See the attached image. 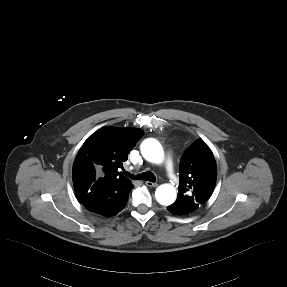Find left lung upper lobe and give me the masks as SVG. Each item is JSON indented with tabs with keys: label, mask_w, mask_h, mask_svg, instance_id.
Here are the masks:
<instances>
[{
	"label": "left lung upper lobe",
	"mask_w": 287,
	"mask_h": 287,
	"mask_svg": "<svg viewBox=\"0 0 287 287\" xmlns=\"http://www.w3.org/2000/svg\"><path fill=\"white\" fill-rule=\"evenodd\" d=\"M217 176L210 148L201 139L185 151L180 161L179 188L175 205L187 213L195 211L211 195Z\"/></svg>",
	"instance_id": "obj_1"
}]
</instances>
